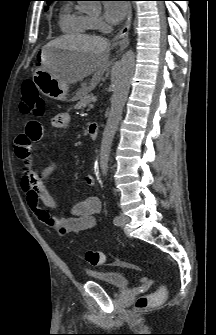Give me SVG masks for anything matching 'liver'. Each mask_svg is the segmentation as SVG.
I'll use <instances>...</instances> for the list:
<instances>
[{
	"instance_id": "liver-1",
	"label": "liver",
	"mask_w": 216,
	"mask_h": 335,
	"mask_svg": "<svg viewBox=\"0 0 216 335\" xmlns=\"http://www.w3.org/2000/svg\"><path fill=\"white\" fill-rule=\"evenodd\" d=\"M46 46L65 48L77 51L70 64L58 77L68 83L78 82L92 73L98 71L108 60L106 49L109 41L103 37L89 35H64Z\"/></svg>"
}]
</instances>
